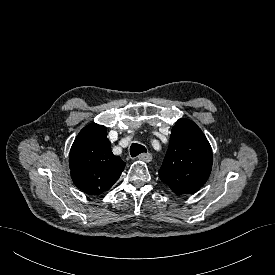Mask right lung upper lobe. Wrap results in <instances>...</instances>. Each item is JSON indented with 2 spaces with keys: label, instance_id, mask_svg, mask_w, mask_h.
I'll use <instances>...</instances> for the list:
<instances>
[{
  "label": "right lung upper lobe",
  "instance_id": "right-lung-upper-lobe-1",
  "mask_svg": "<svg viewBox=\"0 0 275 275\" xmlns=\"http://www.w3.org/2000/svg\"><path fill=\"white\" fill-rule=\"evenodd\" d=\"M74 184L86 194L107 191L120 177L125 162L111 151L105 126L92 123L76 137L69 156Z\"/></svg>",
  "mask_w": 275,
  "mask_h": 275
}]
</instances>
